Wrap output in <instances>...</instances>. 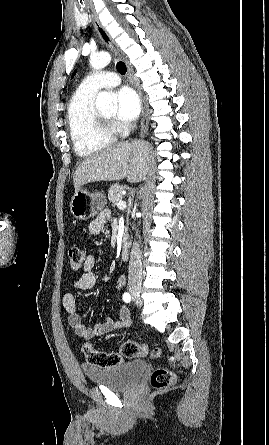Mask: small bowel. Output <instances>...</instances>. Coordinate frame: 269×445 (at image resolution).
<instances>
[{
    "label": "small bowel",
    "instance_id": "obj_1",
    "mask_svg": "<svg viewBox=\"0 0 269 445\" xmlns=\"http://www.w3.org/2000/svg\"><path fill=\"white\" fill-rule=\"evenodd\" d=\"M109 219V213L107 211L102 212L95 220L89 224V231L92 234H99L102 231L104 224ZM96 266V258L93 255L86 257L82 273L79 278L73 281L72 288L76 291H88L95 287L98 276L94 269ZM126 285V277L120 276L116 280L115 289L121 290ZM62 304L67 312V320L70 327L75 333L84 338L92 339L96 336H101L115 329H121L128 327L131 323L129 310L120 305L118 309V318H106L102 323L95 325L94 327H87L78 312L76 306L75 295L72 291H68L63 295Z\"/></svg>",
    "mask_w": 269,
    "mask_h": 445
}]
</instances>
